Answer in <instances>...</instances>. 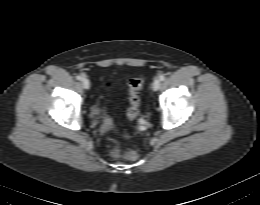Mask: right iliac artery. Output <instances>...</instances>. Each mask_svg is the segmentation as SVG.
Wrapping results in <instances>:
<instances>
[{
	"label": "right iliac artery",
	"instance_id": "right-iliac-artery-1",
	"mask_svg": "<svg viewBox=\"0 0 260 205\" xmlns=\"http://www.w3.org/2000/svg\"><path fill=\"white\" fill-rule=\"evenodd\" d=\"M76 79H77V80H82L83 78H82L81 75H77V76H76Z\"/></svg>",
	"mask_w": 260,
	"mask_h": 205
}]
</instances>
